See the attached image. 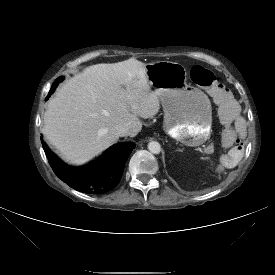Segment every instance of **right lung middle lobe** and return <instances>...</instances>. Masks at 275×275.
I'll return each instance as SVG.
<instances>
[{
  "label": "right lung middle lobe",
  "mask_w": 275,
  "mask_h": 275,
  "mask_svg": "<svg viewBox=\"0 0 275 275\" xmlns=\"http://www.w3.org/2000/svg\"><path fill=\"white\" fill-rule=\"evenodd\" d=\"M63 79H64V77L61 76V77L57 78V79L54 81V83L52 84V87H51V89H50V91H49V94H48L46 100H47V99L49 98V96L54 92V90H55V88L57 87L58 83L61 82Z\"/></svg>",
  "instance_id": "dd1d6c3e"
}]
</instances>
